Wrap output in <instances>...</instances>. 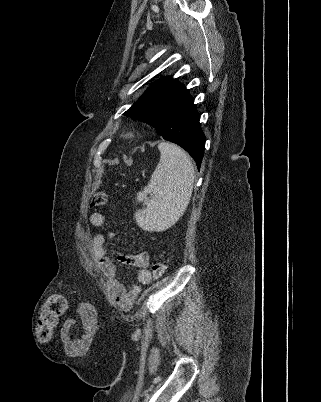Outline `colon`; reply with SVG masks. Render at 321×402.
Listing matches in <instances>:
<instances>
[{"instance_id": "1", "label": "colon", "mask_w": 321, "mask_h": 402, "mask_svg": "<svg viewBox=\"0 0 321 402\" xmlns=\"http://www.w3.org/2000/svg\"><path fill=\"white\" fill-rule=\"evenodd\" d=\"M107 202V194L98 192L91 200L92 207H100ZM166 270V262L159 260L151 265L153 278L160 279ZM68 308V302L62 294H52L45 302L40 318L36 326V334L39 340L49 341L54 332L57 321L64 315Z\"/></svg>"}]
</instances>
